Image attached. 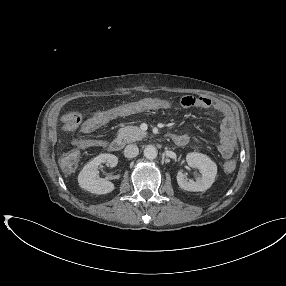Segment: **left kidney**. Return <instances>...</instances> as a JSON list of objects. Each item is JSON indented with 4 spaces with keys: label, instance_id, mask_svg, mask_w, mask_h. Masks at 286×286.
<instances>
[{
    "label": "left kidney",
    "instance_id": "left-kidney-1",
    "mask_svg": "<svg viewBox=\"0 0 286 286\" xmlns=\"http://www.w3.org/2000/svg\"><path fill=\"white\" fill-rule=\"evenodd\" d=\"M186 161L190 167L199 169L202 176L196 181H188L179 171L176 177L179 187L193 192L205 191L210 188L215 181L217 165L207 155L197 152L187 154Z\"/></svg>",
    "mask_w": 286,
    "mask_h": 286
}]
</instances>
